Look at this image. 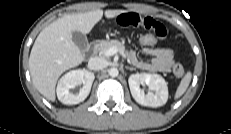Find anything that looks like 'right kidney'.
Masks as SVG:
<instances>
[{
	"label": "right kidney",
	"mask_w": 231,
	"mask_h": 134,
	"mask_svg": "<svg viewBox=\"0 0 231 134\" xmlns=\"http://www.w3.org/2000/svg\"><path fill=\"white\" fill-rule=\"evenodd\" d=\"M94 74L85 70L78 69L66 73L58 82L57 97L60 102L66 105L78 104L84 101L90 93ZM83 84L78 94H73L70 89Z\"/></svg>",
	"instance_id": "1"
}]
</instances>
